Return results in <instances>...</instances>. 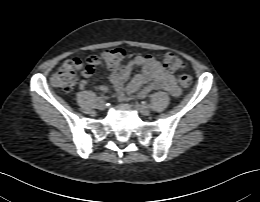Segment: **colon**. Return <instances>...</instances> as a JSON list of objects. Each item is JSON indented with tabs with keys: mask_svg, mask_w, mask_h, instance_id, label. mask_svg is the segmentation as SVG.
<instances>
[{
	"mask_svg": "<svg viewBox=\"0 0 260 202\" xmlns=\"http://www.w3.org/2000/svg\"><path fill=\"white\" fill-rule=\"evenodd\" d=\"M125 56L121 48H112L103 51L101 61L110 68L117 67ZM161 64L167 71H180L185 67L183 60L174 53L167 52L161 55ZM99 63V58L90 56L86 58L75 57L67 60L52 76L50 83L54 88L63 91H71L78 79L80 72L94 71ZM178 81L184 88L192 85L193 79L190 75L183 74L178 77Z\"/></svg>",
	"mask_w": 260,
	"mask_h": 202,
	"instance_id": "colon-1",
	"label": "colon"
}]
</instances>
